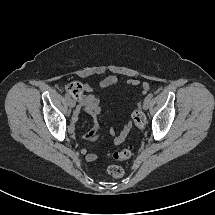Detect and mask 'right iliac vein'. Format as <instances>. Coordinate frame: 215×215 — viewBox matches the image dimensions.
<instances>
[{"label": "right iliac vein", "mask_w": 215, "mask_h": 215, "mask_svg": "<svg viewBox=\"0 0 215 215\" xmlns=\"http://www.w3.org/2000/svg\"><path fill=\"white\" fill-rule=\"evenodd\" d=\"M68 104L71 108L75 107V101L73 99H68Z\"/></svg>", "instance_id": "obj_1"}]
</instances>
